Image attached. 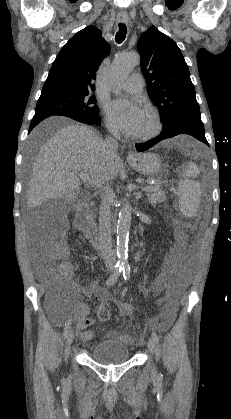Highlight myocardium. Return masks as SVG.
<instances>
[{
    "label": "myocardium",
    "instance_id": "f54148a6",
    "mask_svg": "<svg viewBox=\"0 0 231 419\" xmlns=\"http://www.w3.org/2000/svg\"><path fill=\"white\" fill-rule=\"evenodd\" d=\"M146 113L150 116L151 120H152V127L150 130H148L145 133L142 134H135L134 138L137 140H150L152 138H154L155 136H157L159 134V132L161 131L162 128V123H161V118L159 113L151 107H148L146 109Z\"/></svg>",
    "mask_w": 231,
    "mask_h": 419
}]
</instances>
